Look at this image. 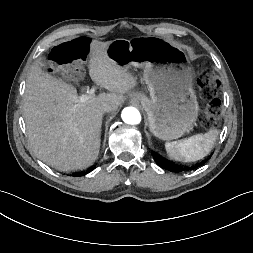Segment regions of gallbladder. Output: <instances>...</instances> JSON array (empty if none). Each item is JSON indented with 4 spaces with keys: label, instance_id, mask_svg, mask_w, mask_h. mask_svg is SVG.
I'll list each match as a JSON object with an SVG mask.
<instances>
[{
    "label": "gallbladder",
    "instance_id": "bac80fb5",
    "mask_svg": "<svg viewBox=\"0 0 253 253\" xmlns=\"http://www.w3.org/2000/svg\"><path fill=\"white\" fill-rule=\"evenodd\" d=\"M40 63H42L43 66L47 65V61L43 58L40 59Z\"/></svg>",
    "mask_w": 253,
    "mask_h": 253
}]
</instances>
